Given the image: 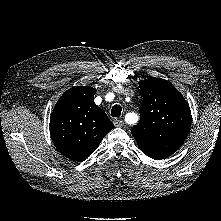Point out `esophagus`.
I'll use <instances>...</instances> for the list:
<instances>
[{
	"label": "esophagus",
	"instance_id": "esophagus-1",
	"mask_svg": "<svg viewBox=\"0 0 221 221\" xmlns=\"http://www.w3.org/2000/svg\"><path fill=\"white\" fill-rule=\"evenodd\" d=\"M114 125L116 126V127H122V126H124V121L123 120H121V119H114Z\"/></svg>",
	"mask_w": 221,
	"mask_h": 221
}]
</instances>
